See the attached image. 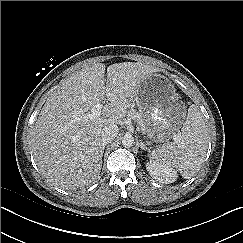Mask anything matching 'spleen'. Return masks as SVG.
Listing matches in <instances>:
<instances>
[{
    "label": "spleen",
    "mask_w": 243,
    "mask_h": 243,
    "mask_svg": "<svg viewBox=\"0 0 243 243\" xmlns=\"http://www.w3.org/2000/svg\"><path fill=\"white\" fill-rule=\"evenodd\" d=\"M203 116L196 105L188 108L187 119L174 142L157 148L150 156L152 162L177 169L183 178H191L199 170L208 147Z\"/></svg>",
    "instance_id": "3e777b00"
}]
</instances>
